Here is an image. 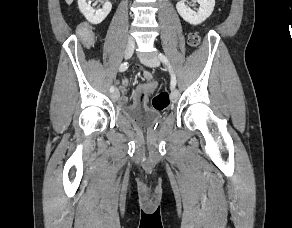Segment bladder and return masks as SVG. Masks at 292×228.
I'll use <instances>...</instances> for the list:
<instances>
[{
	"label": "bladder",
	"instance_id": "bladder-1",
	"mask_svg": "<svg viewBox=\"0 0 292 228\" xmlns=\"http://www.w3.org/2000/svg\"><path fill=\"white\" fill-rule=\"evenodd\" d=\"M122 115L132 124L143 129L154 126L161 119L160 113L151 108L134 109L127 107L122 110Z\"/></svg>",
	"mask_w": 292,
	"mask_h": 228
}]
</instances>
